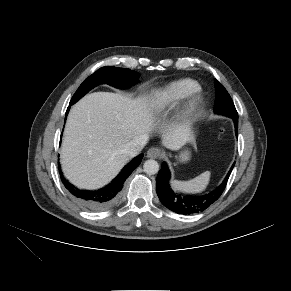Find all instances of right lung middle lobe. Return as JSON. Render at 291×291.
I'll list each match as a JSON object with an SVG mask.
<instances>
[{
	"label": "right lung middle lobe",
	"instance_id": "dd1d6c3e",
	"mask_svg": "<svg viewBox=\"0 0 291 291\" xmlns=\"http://www.w3.org/2000/svg\"><path fill=\"white\" fill-rule=\"evenodd\" d=\"M139 76V73L126 68L102 67L80 85L72 97L70 105L76 103L88 91L99 84L107 83L117 88H126L137 83Z\"/></svg>",
	"mask_w": 291,
	"mask_h": 291
}]
</instances>
